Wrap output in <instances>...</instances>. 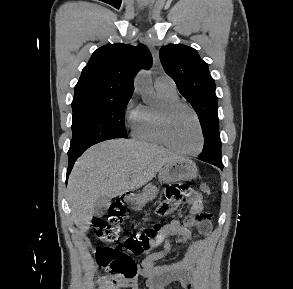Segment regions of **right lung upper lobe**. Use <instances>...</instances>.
<instances>
[{
  "label": "right lung upper lobe",
  "mask_w": 293,
  "mask_h": 289,
  "mask_svg": "<svg viewBox=\"0 0 293 289\" xmlns=\"http://www.w3.org/2000/svg\"><path fill=\"white\" fill-rule=\"evenodd\" d=\"M152 56L142 44H109L97 49L83 68L73 101L86 98H118L132 95L134 75L150 68Z\"/></svg>",
  "instance_id": "1"
}]
</instances>
